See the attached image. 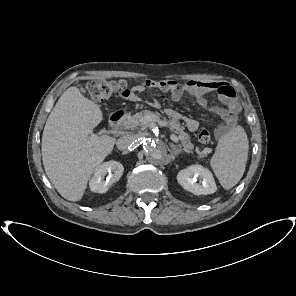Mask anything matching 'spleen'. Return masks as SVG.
I'll return each mask as SVG.
<instances>
[{
  "mask_svg": "<svg viewBox=\"0 0 296 296\" xmlns=\"http://www.w3.org/2000/svg\"><path fill=\"white\" fill-rule=\"evenodd\" d=\"M248 150L249 142L242 127H235L220 138L210 166L224 189H231L242 178Z\"/></svg>",
  "mask_w": 296,
  "mask_h": 296,
  "instance_id": "3e777b00",
  "label": "spleen"
}]
</instances>
